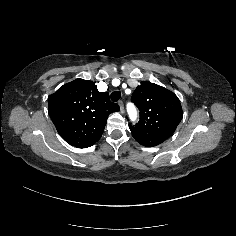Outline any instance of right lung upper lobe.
Here are the masks:
<instances>
[{
    "mask_svg": "<svg viewBox=\"0 0 236 236\" xmlns=\"http://www.w3.org/2000/svg\"><path fill=\"white\" fill-rule=\"evenodd\" d=\"M49 114L58 133L70 145L87 148L104 131L108 115L120 110L94 82L76 79L48 97Z\"/></svg>",
    "mask_w": 236,
    "mask_h": 236,
    "instance_id": "obj_1",
    "label": "right lung upper lobe"
}]
</instances>
